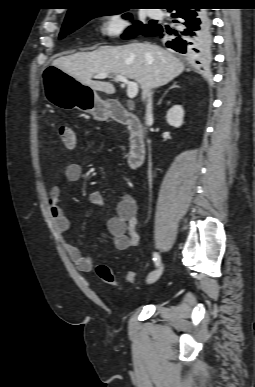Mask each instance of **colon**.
Instances as JSON below:
<instances>
[{
	"instance_id": "5ec220e1",
	"label": "colon",
	"mask_w": 255,
	"mask_h": 387,
	"mask_svg": "<svg viewBox=\"0 0 255 387\" xmlns=\"http://www.w3.org/2000/svg\"><path fill=\"white\" fill-rule=\"evenodd\" d=\"M58 137L59 141L62 144V146L67 149L71 150L75 147L78 139L77 132L67 125H61L58 129ZM92 143L93 141H89ZM97 275L99 279L108 284V285H114L115 284V276L111 268L106 264H100L96 268ZM125 280L129 283H134L136 281V274L132 271H129L125 275Z\"/></svg>"
}]
</instances>
